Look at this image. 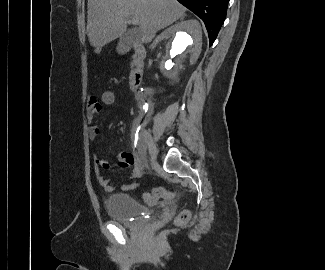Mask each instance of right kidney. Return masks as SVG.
I'll return each instance as SVG.
<instances>
[{
    "label": "right kidney",
    "mask_w": 325,
    "mask_h": 270,
    "mask_svg": "<svg viewBox=\"0 0 325 270\" xmlns=\"http://www.w3.org/2000/svg\"><path fill=\"white\" fill-rule=\"evenodd\" d=\"M161 40L165 41L164 48L155 68L167 83L174 84L201 53V26L196 20L180 22L162 32L158 37V41Z\"/></svg>",
    "instance_id": "1"
}]
</instances>
